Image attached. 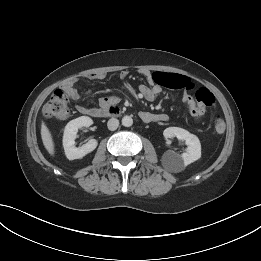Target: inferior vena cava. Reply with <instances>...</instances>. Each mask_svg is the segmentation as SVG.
I'll return each mask as SVG.
<instances>
[{"mask_svg":"<svg viewBox=\"0 0 261 261\" xmlns=\"http://www.w3.org/2000/svg\"><path fill=\"white\" fill-rule=\"evenodd\" d=\"M107 126H108L109 130L114 131L119 126V120L116 118H111V119H109Z\"/></svg>","mask_w":261,"mask_h":261,"instance_id":"inferior-vena-cava-1","label":"inferior vena cava"}]
</instances>
